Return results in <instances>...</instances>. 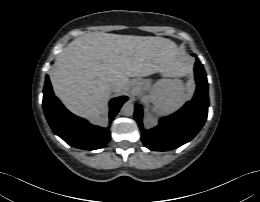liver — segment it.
I'll return each mask as SVG.
<instances>
[{
  "instance_id": "6515ba94",
  "label": "liver",
  "mask_w": 260,
  "mask_h": 202,
  "mask_svg": "<svg viewBox=\"0 0 260 202\" xmlns=\"http://www.w3.org/2000/svg\"><path fill=\"white\" fill-rule=\"evenodd\" d=\"M188 67L177 46L162 37L93 32L74 39L50 73L55 95L74 114L98 120L112 92L129 89V77L181 75ZM116 84L117 91L111 86Z\"/></svg>"
}]
</instances>
